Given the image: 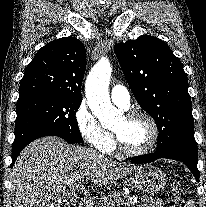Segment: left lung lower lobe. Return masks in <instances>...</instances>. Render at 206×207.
I'll list each match as a JSON object with an SVG mask.
<instances>
[{
    "instance_id": "obj_1",
    "label": "left lung lower lobe",
    "mask_w": 206,
    "mask_h": 207,
    "mask_svg": "<svg viewBox=\"0 0 206 207\" xmlns=\"http://www.w3.org/2000/svg\"><path fill=\"white\" fill-rule=\"evenodd\" d=\"M159 158L174 159L183 162L194 174L197 181H199V171L197 169L198 151L190 149H172L163 152H155L139 157L132 158V163L145 164L153 162Z\"/></svg>"
}]
</instances>
